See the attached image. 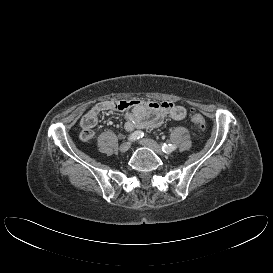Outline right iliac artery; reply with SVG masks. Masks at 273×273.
Listing matches in <instances>:
<instances>
[{
    "mask_svg": "<svg viewBox=\"0 0 273 273\" xmlns=\"http://www.w3.org/2000/svg\"><path fill=\"white\" fill-rule=\"evenodd\" d=\"M144 136V133L142 131H135L132 134L129 135L128 140L129 141H136L139 140Z\"/></svg>",
    "mask_w": 273,
    "mask_h": 273,
    "instance_id": "obj_1",
    "label": "right iliac artery"
}]
</instances>
